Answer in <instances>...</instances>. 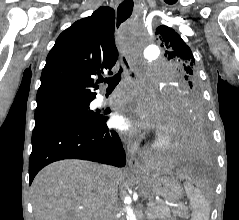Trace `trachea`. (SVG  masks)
Here are the masks:
<instances>
[{
    "label": "trachea",
    "instance_id": "3493384b",
    "mask_svg": "<svg viewBox=\"0 0 239 220\" xmlns=\"http://www.w3.org/2000/svg\"><path fill=\"white\" fill-rule=\"evenodd\" d=\"M124 63L126 64V66L128 67L127 65V62L126 60L124 59ZM123 72V68H120L119 72L117 74H115L114 76L112 77H109V78H105V79H100V82H105L108 84V88H107V91H112L115 89V87L117 86V84L120 82L121 80V73Z\"/></svg>",
    "mask_w": 239,
    "mask_h": 220
}]
</instances>
